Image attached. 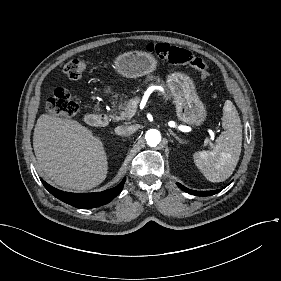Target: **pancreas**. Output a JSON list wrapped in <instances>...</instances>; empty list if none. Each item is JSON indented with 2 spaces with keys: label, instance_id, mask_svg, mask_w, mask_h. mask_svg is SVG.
<instances>
[{
  "label": "pancreas",
  "instance_id": "obj_1",
  "mask_svg": "<svg viewBox=\"0 0 281 281\" xmlns=\"http://www.w3.org/2000/svg\"><path fill=\"white\" fill-rule=\"evenodd\" d=\"M156 80H157L156 82H158V83L161 82V80L159 78H156ZM161 83H163V82H161ZM127 106H128V102L124 101L123 104H120L118 107V109L120 111V115L119 116L115 115V116H111V117L113 119H115L116 121L122 120V116L124 115V111L127 109Z\"/></svg>",
  "mask_w": 281,
  "mask_h": 281
}]
</instances>
